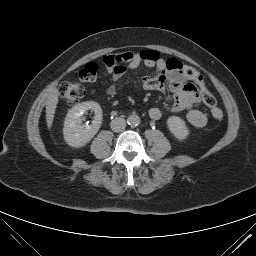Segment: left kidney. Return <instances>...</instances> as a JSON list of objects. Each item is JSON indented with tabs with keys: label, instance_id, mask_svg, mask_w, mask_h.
Returning a JSON list of instances; mask_svg holds the SVG:
<instances>
[{
	"label": "left kidney",
	"instance_id": "obj_1",
	"mask_svg": "<svg viewBox=\"0 0 256 256\" xmlns=\"http://www.w3.org/2000/svg\"><path fill=\"white\" fill-rule=\"evenodd\" d=\"M167 126L169 131L178 140H184L189 136V129L183 119L177 116H171L167 119Z\"/></svg>",
	"mask_w": 256,
	"mask_h": 256
}]
</instances>
